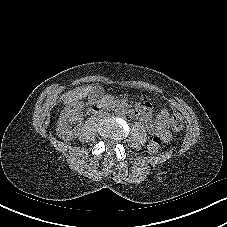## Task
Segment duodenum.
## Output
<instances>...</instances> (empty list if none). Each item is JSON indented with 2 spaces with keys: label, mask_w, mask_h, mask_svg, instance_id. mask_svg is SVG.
I'll return each instance as SVG.
<instances>
[{
  "label": "duodenum",
  "mask_w": 227,
  "mask_h": 227,
  "mask_svg": "<svg viewBox=\"0 0 227 227\" xmlns=\"http://www.w3.org/2000/svg\"><path fill=\"white\" fill-rule=\"evenodd\" d=\"M102 107V101L98 98H94L90 103V108L93 112H97ZM132 117L136 118L138 116L137 110H130Z\"/></svg>",
  "instance_id": "obj_1"
}]
</instances>
